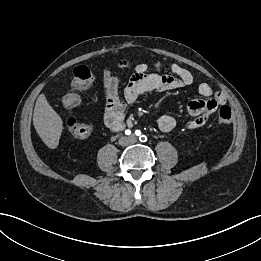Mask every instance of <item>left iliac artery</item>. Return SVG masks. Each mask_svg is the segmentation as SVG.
<instances>
[{
    "label": "left iliac artery",
    "mask_w": 261,
    "mask_h": 261,
    "mask_svg": "<svg viewBox=\"0 0 261 261\" xmlns=\"http://www.w3.org/2000/svg\"><path fill=\"white\" fill-rule=\"evenodd\" d=\"M135 134L139 136V135H141V131L140 130H136ZM139 139H140L141 142H146L147 141V137L145 135L140 136Z\"/></svg>",
    "instance_id": "left-iliac-artery-1"
}]
</instances>
